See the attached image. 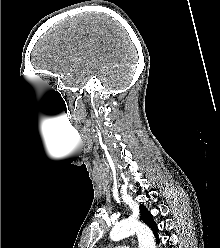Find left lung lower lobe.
Masks as SVG:
<instances>
[{
    "instance_id": "obj_1",
    "label": "left lung lower lobe",
    "mask_w": 220,
    "mask_h": 248,
    "mask_svg": "<svg viewBox=\"0 0 220 248\" xmlns=\"http://www.w3.org/2000/svg\"><path fill=\"white\" fill-rule=\"evenodd\" d=\"M155 237H156V242L159 244V238H158L157 232L155 233Z\"/></svg>"
}]
</instances>
